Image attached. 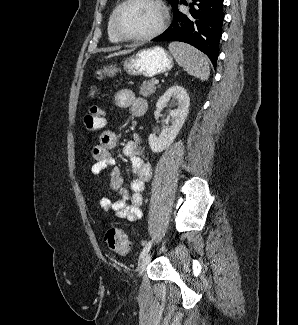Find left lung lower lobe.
Segmentation results:
<instances>
[{
    "mask_svg": "<svg viewBox=\"0 0 298 325\" xmlns=\"http://www.w3.org/2000/svg\"><path fill=\"white\" fill-rule=\"evenodd\" d=\"M185 0H176L172 6L174 18L169 28L152 41H181L204 52L216 67L219 41L224 19L223 0H193L189 12L178 10Z\"/></svg>",
    "mask_w": 298,
    "mask_h": 325,
    "instance_id": "1",
    "label": "left lung lower lobe"
}]
</instances>
